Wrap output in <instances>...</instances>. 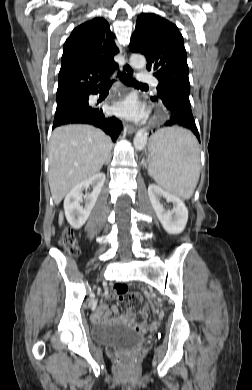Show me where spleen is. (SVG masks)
Returning a JSON list of instances; mask_svg holds the SVG:
<instances>
[{
    "instance_id": "spleen-1",
    "label": "spleen",
    "mask_w": 252,
    "mask_h": 390,
    "mask_svg": "<svg viewBox=\"0 0 252 390\" xmlns=\"http://www.w3.org/2000/svg\"><path fill=\"white\" fill-rule=\"evenodd\" d=\"M148 172L165 190L189 199L199 180L200 159L194 135L182 128L158 130L152 137Z\"/></svg>"
}]
</instances>
